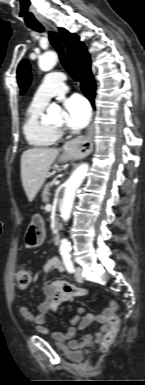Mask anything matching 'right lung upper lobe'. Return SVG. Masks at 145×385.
Listing matches in <instances>:
<instances>
[{"label":"right lung upper lobe","instance_id":"right-lung-upper-lobe-1","mask_svg":"<svg viewBox=\"0 0 145 385\" xmlns=\"http://www.w3.org/2000/svg\"><path fill=\"white\" fill-rule=\"evenodd\" d=\"M59 32L76 70L80 72L85 67L89 66L91 64L90 56L84 44L80 42L79 37L76 34L69 33L63 28H59Z\"/></svg>","mask_w":145,"mask_h":385}]
</instances>
